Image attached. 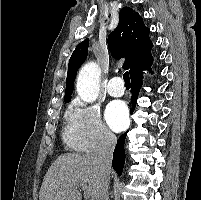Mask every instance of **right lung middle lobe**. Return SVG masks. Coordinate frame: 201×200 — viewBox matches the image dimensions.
<instances>
[{
	"label": "right lung middle lobe",
	"mask_w": 201,
	"mask_h": 200,
	"mask_svg": "<svg viewBox=\"0 0 201 200\" xmlns=\"http://www.w3.org/2000/svg\"><path fill=\"white\" fill-rule=\"evenodd\" d=\"M65 101V103H68V102H70V99L69 100H64Z\"/></svg>",
	"instance_id": "1"
}]
</instances>
